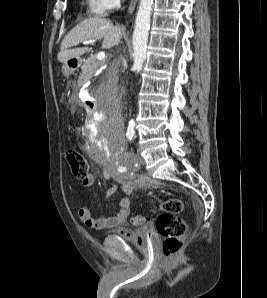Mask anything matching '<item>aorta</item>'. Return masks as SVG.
I'll use <instances>...</instances> for the list:
<instances>
[{"instance_id": "1", "label": "aorta", "mask_w": 267, "mask_h": 298, "mask_svg": "<svg viewBox=\"0 0 267 298\" xmlns=\"http://www.w3.org/2000/svg\"><path fill=\"white\" fill-rule=\"evenodd\" d=\"M153 0H140L139 10L135 20V28L133 32V69L136 73L142 70L143 63L146 58V49L148 43V35L151 21V10ZM135 122L130 120L127 133L134 134Z\"/></svg>"}]
</instances>
